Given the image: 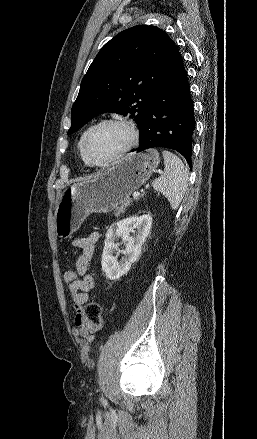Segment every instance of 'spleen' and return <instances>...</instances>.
<instances>
[{"instance_id": "obj_1", "label": "spleen", "mask_w": 257, "mask_h": 439, "mask_svg": "<svg viewBox=\"0 0 257 439\" xmlns=\"http://www.w3.org/2000/svg\"><path fill=\"white\" fill-rule=\"evenodd\" d=\"M164 173L152 183L154 190L161 192L176 210L188 186L189 173L179 157L170 151L163 150Z\"/></svg>"}]
</instances>
